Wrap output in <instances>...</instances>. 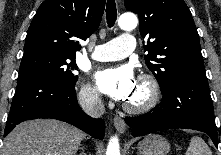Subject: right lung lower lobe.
I'll return each mask as SVG.
<instances>
[{"label": "right lung lower lobe", "mask_w": 221, "mask_h": 155, "mask_svg": "<svg viewBox=\"0 0 221 155\" xmlns=\"http://www.w3.org/2000/svg\"><path fill=\"white\" fill-rule=\"evenodd\" d=\"M74 86L64 85L39 72H28L18 77L4 136L23 121L54 118L70 123L95 138L103 139L104 121L91 118L82 111Z\"/></svg>", "instance_id": "98d812e1"}]
</instances>
